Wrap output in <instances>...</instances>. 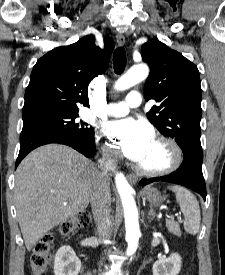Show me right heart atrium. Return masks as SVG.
<instances>
[{
	"label": "right heart atrium",
	"mask_w": 225,
	"mask_h": 275,
	"mask_svg": "<svg viewBox=\"0 0 225 275\" xmlns=\"http://www.w3.org/2000/svg\"><path fill=\"white\" fill-rule=\"evenodd\" d=\"M103 155L104 158L109 162H115L117 160V155L112 149L111 146L105 145L103 148Z\"/></svg>",
	"instance_id": "obj_1"
}]
</instances>
